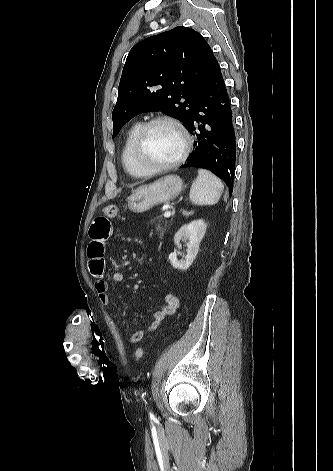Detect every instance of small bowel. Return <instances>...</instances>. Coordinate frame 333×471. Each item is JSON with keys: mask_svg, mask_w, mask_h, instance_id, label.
<instances>
[{"mask_svg": "<svg viewBox=\"0 0 333 471\" xmlns=\"http://www.w3.org/2000/svg\"><path fill=\"white\" fill-rule=\"evenodd\" d=\"M112 234V225L110 218L101 215L93 219L89 235L90 243L87 249L88 268L91 275L95 278V289L97 291L100 302L103 305H108L109 298V283L104 278L105 276V242ZM111 279L115 283L124 281V274L120 271L112 273ZM179 306V300L176 295L166 293L163 296V303L161 308L153 312L152 321L146 327L137 328L129 337L130 342L140 341L146 331L156 330L166 319L167 316L173 315Z\"/></svg>", "mask_w": 333, "mask_h": 471, "instance_id": "small-bowel-1", "label": "small bowel"}]
</instances>
